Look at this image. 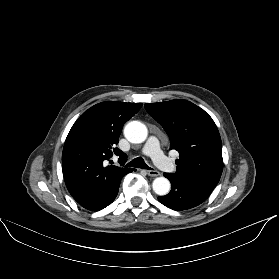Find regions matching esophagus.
<instances>
[{
    "mask_svg": "<svg viewBox=\"0 0 279 279\" xmlns=\"http://www.w3.org/2000/svg\"><path fill=\"white\" fill-rule=\"evenodd\" d=\"M146 172L151 177H157L160 175V173L157 170H147Z\"/></svg>",
    "mask_w": 279,
    "mask_h": 279,
    "instance_id": "obj_1",
    "label": "esophagus"
}]
</instances>
